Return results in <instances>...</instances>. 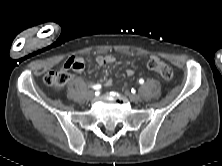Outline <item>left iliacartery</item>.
I'll return each instance as SVG.
<instances>
[{
    "instance_id": "1",
    "label": "left iliac artery",
    "mask_w": 222,
    "mask_h": 166,
    "mask_svg": "<svg viewBox=\"0 0 222 166\" xmlns=\"http://www.w3.org/2000/svg\"><path fill=\"white\" fill-rule=\"evenodd\" d=\"M139 83H140V84H143V83H144V80L141 78V79L139 80Z\"/></svg>"
}]
</instances>
